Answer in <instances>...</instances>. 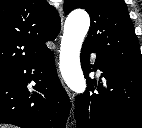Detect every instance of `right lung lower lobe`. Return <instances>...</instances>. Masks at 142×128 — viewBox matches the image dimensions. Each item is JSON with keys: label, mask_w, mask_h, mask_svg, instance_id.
<instances>
[{"label": "right lung lower lobe", "mask_w": 142, "mask_h": 128, "mask_svg": "<svg viewBox=\"0 0 142 128\" xmlns=\"http://www.w3.org/2000/svg\"><path fill=\"white\" fill-rule=\"evenodd\" d=\"M36 83L33 88L28 83ZM70 102L48 48L0 78V123L21 128H64Z\"/></svg>", "instance_id": "98d812e1"}]
</instances>
